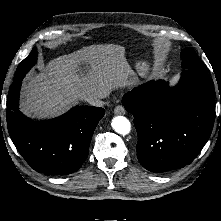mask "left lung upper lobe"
I'll use <instances>...</instances> for the list:
<instances>
[{
  "label": "left lung upper lobe",
  "mask_w": 221,
  "mask_h": 221,
  "mask_svg": "<svg viewBox=\"0 0 221 221\" xmlns=\"http://www.w3.org/2000/svg\"><path fill=\"white\" fill-rule=\"evenodd\" d=\"M182 67L184 69H191L196 71H205L202 63L196 56L195 51L192 48H185L181 53Z\"/></svg>",
  "instance_id": "left-lung-upper-lobe-1"
}]
</instances>
